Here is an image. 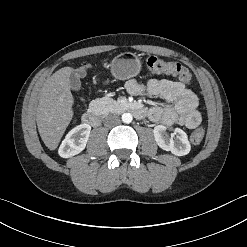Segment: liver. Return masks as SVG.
Returning <instances> with one entry per match:
<instances>
[{
  "label": "liver",
  "mask_w": 247,
  "mask_h": 247,
  "mask_svg": "<svg viewBox=\"0 0 247 247\" xmlns=\"http://www.w3.org/2000/svg\"><path fill=\"white\" fill-rule=\"evenodd\" d=\"M88 68L91 64L77 69L61 68L46 79L39 92L36 121L41 139L50 150L57 148L74 114L70 75L86 73Z\"/></svg>",
  "instance_id": "6515ba94"
}]
</instances>
